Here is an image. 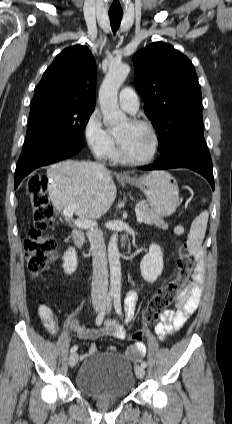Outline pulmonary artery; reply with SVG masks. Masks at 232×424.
I'll return each instance as SVG.
<instances>
[{"label": "pulmonary artery", "mask_w": 232, "mask_h": 424, "mask_svg": "<svg viewBox=\"0 0 232 424\" xmlns=\"http://www.w3.org/2000/svg\"><path fill=\"white\" fill-rule=\"evenodd\" d=\"M118 103L122 109L134 114L139 109V98L134 89L130 87L123 88L118 97Z\"/></svg>", "instance_id": "obj_1"}]
</instances>
